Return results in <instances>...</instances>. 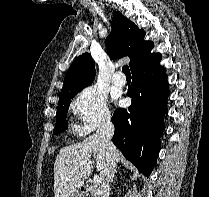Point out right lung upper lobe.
<instances>
[{
  "mask_svg": "<svg viewBox=\"0 0 209 197\" xmlns=\"http://www.w3.org/2000/svg\"><path fill=\"white\" fill-rule=\"evenodd\" d=\"M145 31L140 30L132 21L123 16L119 11L112 18V33L106 38V48L112 59L129 56L131 70L153 57L150 51L153 42L144 41ZM95 78V65L89 53L78 56L68 69L60 95L66 91L86 87Z\"/></svg>",
  "mask_w": 209,
  "mask_h": 197,
  "instance_id": "obj_1",
  "label": "right lung upper lobe"
}]
</instances>
